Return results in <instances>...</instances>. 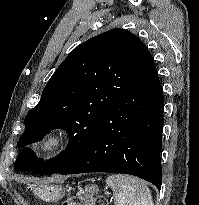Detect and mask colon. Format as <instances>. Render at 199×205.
I'll list each match as a JSON object with an SVG mask.
<instances>
[{
  "instance_id": "1",
  "label": "colon",
  "mask_w": 199,
  "mask_h": 205,
  "mask_svg": "<svg viewBox=\"0 0 199 205\" xmlns=\"http://www.w3.org/2000/svg\"><path fill=\"white\" fill-rule=\"evenodd\" d=\"M63 205H108L107 201L103 197L95 198L92 203L85 202L83 199L79 197H73L67 199Z\"/></svg>"
}]
</instances>
